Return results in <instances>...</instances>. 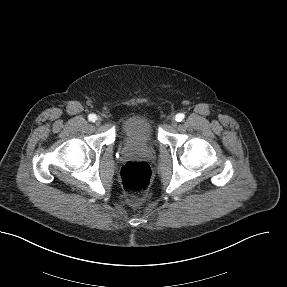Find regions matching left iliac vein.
I'll return each instance as SVG.
<instances>
[{
	"mask_svg": "<svg viewBox=\"0 0 287 287\" xmlns=\"http://www.w3.org/2000/svg\"><path fill=\"white\" fill-rule=\"evenodd\" d=\"M171 125H172L173 127H176V126H177V121H176V119L172 118V120H171Z\"/></svg>",
	"mask_w": 287,
	"mask_h": 287,
	"instance_id": "4c4485c4",
	"label": "left iliac vein"
}]
</instances>
